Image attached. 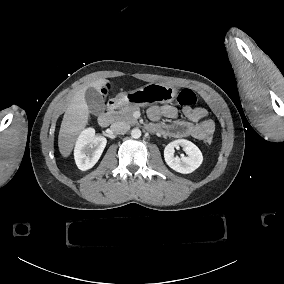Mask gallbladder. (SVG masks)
I'll return each instance as SVG.
<instances>
[{
    "label": "gallbladder",
    "instance_id": "gallbladder-1",
    "mask_svg": "<svg viewBox=\"0 0 284 284\" xmlns=\"http://www.w3.org/2000/svg\"><path fill=\"white\" fill-rule=\"evenodd\" d=\"M87 104L90 112L95 116L105 113V103L102 95L93 88H89L86 95Z\"/></svg>",
    "mask_w": 284,
    "mask_h": 284
}]
</instances>
